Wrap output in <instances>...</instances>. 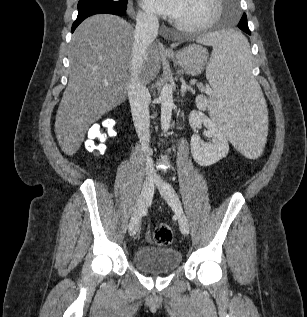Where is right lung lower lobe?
<instances>
[{
  "label": "right lung lower lobe",
  "instance_id": "98d812e1",
  "mask_svg": "<svg viewBox=\"0 0 307 317\" xmlns=\"http://www.w3.org/2000/svg\"><path fill=\"white\" fill-rule=\"evenodd\" d=\"M126 10L122 11V12H113L110 10H106V9H100V8H93V9H88V10H84V11H80L78 12V16L76 21L73 23L72 25V32L76 29V27L87 17L95 15V14H113V15H117V16H123L125 15Z\"/></svg>",
  "mask_w": 307,
  "mask_h": 317
}]
</instances>
